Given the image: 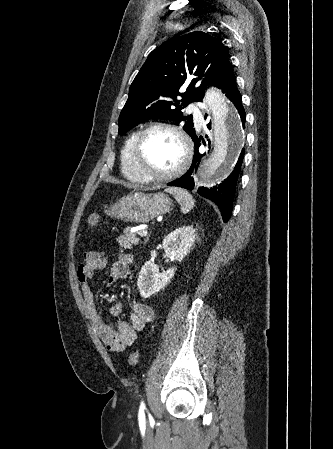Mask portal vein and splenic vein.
Wrapping results in <instances>:
<instances>
[{
    "label": "portal vein and splenic vein",
    "mask_w": 333,
    "mask_h": 449,
    "mask_svg": "<svg viewBox=\"0 0 333 449\" xmlns=\"http://www.w3.org/2000/svg\"><path fill=\"white\" fill-rule=\"evenodd\" d=\"M138 234H139V236H141V237H145V236L148 235V231H147V230H141V231L138 232Z\"/></svg>",
    "instance_id": "portal-vein-and-splenic-vein-1"
}]
</instances>
